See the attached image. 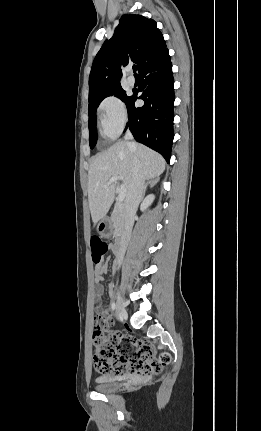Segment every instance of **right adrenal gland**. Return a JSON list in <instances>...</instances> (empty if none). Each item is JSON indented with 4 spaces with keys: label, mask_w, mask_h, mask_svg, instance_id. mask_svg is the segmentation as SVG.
<instances>
[{
    "label": "right adrenal gland",
    "mask_w": 261,
    "mask_h": 431,
    "mask_svg": "<svg viewBox=\"0 0 261 431\" xmlns=\"http://www.w3.org/2000/svg\"><path fill=\"white\" fill-rule=\"evenodd\" d=\"M158 182H159V177H154V178L148 179V181L146 182L145 187H144L143 197L145 195L147 187L149 186L150 188H152V187L156 186ZM143 197H142V199H143Z\"/></svg>",
    "instance_id": "2a0ac1e0"
}]
</instances>
